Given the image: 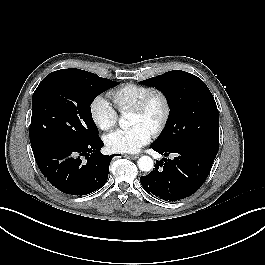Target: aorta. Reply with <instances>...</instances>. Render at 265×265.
I'll list each match as a JSON object with an SVG mask.
<instances>
[{"label": "aorta", "mask_w": 265, "mask_h": 265, "mask_svg": "<svg viewBox=\"0 0 265 265\" xmlns=\"http://www.w3.org/2000/svg\"><path fill=\"white\" fill-rule=\"evenodd\" d=\"M119 125L121 128L125 129V128L129 127L130 124H129L128 120H126L124 117H121L119 119ZM137 165L141 171L149 172L154 167V161L149 156H142L138 159Z\"/></svg>", "instance_id": "aorta-1"}]
</instances>
